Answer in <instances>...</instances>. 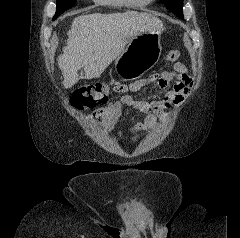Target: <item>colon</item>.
Masks as SVG:
<instances>
[{"mask_svg": "<svg viewBox=\"0 0 240 238\" xmlns=\"http://www.w3.org/2000/svg\"><path fill=\"white\" fill-rule=\"evenodd\" d=\"M179 58L178 50H170L165 54V59L175 62ZM109 88L106 84H84L76 88L71 98V105L77 110L91 109L98 102L107 100Z\"/></svg>", "mask_w": 240, "mask_h": 238, "instance_id": "5ec220e1", "label": "colon"}]
</instances>
